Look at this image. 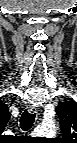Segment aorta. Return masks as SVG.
Returning <instances> with one entry per match:
<instances>
[{
    "label": "aorta",
    "mask_w": 77,
    "mask_h": 143,
    "mask_svg": "<svg viewBox=\"0 0 77 143\" xmlns=\"http://www.w3.org/2000/svg\"><path fill=\"white\" fill-rule=\"evenodd\" d=\"M55 133L56 129L53 123H43L35 130V134L40 136H54Z\"/></svg>",
    "instance_id": "obj_1"
}]
</instances>
